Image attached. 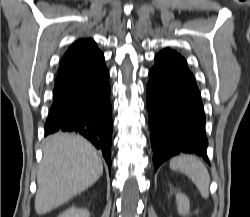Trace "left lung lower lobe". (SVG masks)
<instances>
[{"label":"left lung lower lobe","instance_id":"left-lung-lower-lobe-1","mask_svg":"<svg viewBox=\"0 0 250 217\" xmlns=\"http://www.w3.org/2000/svg\"><path fill=\"white\" fill-rule=\"evenodd\" d=\"M149 76L146 105L155 171L181 153H194L209 163L203 105L186 60L164 49L155 56Z\"/></svg>","mask_w":250,"mask_h":217}]
</instances>
